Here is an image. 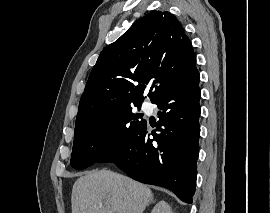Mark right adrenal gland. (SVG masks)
Wrapping results in <instances>:
<instances>
[{
    "label": "right adrenal gland",
    "instance_id": "obj_1",
    "mask_svg": "<svg viewBox=\"0 0 270 213\" xmlns=\"http://www.w3.org/2000/svg\"><path fill=\"white\" fill-rule=\"evenodd\" d=\"M154 202H155V201H152V200H151V202H150V203H154Z\"/></svg>",
    "mask_w": 270,
    "mask_h": 213
}]
</instances>
